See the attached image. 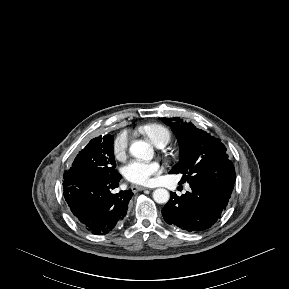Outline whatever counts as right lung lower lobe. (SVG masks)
Wrapping results in <instances>:
<instances>
[{
    "instance_id": "98d812e1",
    "label": "right lung lower lobe",
    "mask_w": 289,
    "mask_h": 289,
    "mask_svg": "<svg viewBox=\"0 0 289 289\" xmlns=\"http://www.w3.org/2000/svg\"><path fill=\"white\" fill-rule=\"evenodd\" d=\"M122 176L115 171L105 177H88L66 171L64 198L76 221L95 235L109 233L127 214L131 190L113 194Z\"/></svg>"
}]
</instances>
